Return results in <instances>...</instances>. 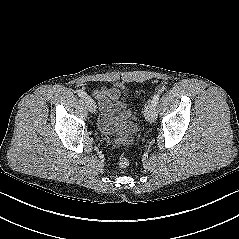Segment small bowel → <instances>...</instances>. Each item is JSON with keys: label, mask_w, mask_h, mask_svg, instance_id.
Wrapping results in <instances>:
<instances>
[{"label": "small bowel", "mask_w": 239, "mask_h": 239, "mask_svg": "<svg viewBox=\"0 0 239 239\" xmlns=\"http://www.w3.org/2000/svg\"><path fill=\"white\" fill-rule=\"evenodd\" d=\"M93 95L98 100L101 111L99 127L104 133H114L119 123L130 118V112L119 100L121 94L118 87L103 86L95 90Z\"/></svg>", "instance_id": "small-bowel-1"}]
</instances>
